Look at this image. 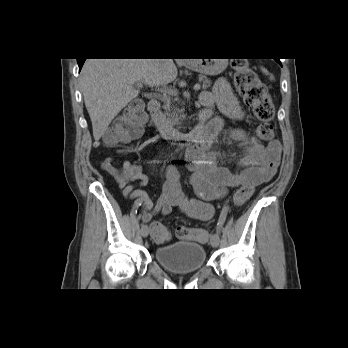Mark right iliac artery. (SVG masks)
Returning <instances> with one entry per match:
<instances>
[{"label": "right iliac artery", "mask_w": 348, "mask_h": 348, "mask_svg": "<svg viewBox=\"0 0 348 348\" xmlns=\"http://www.w3.org/2000/svg\"><path fill=\"white\" fill-rule=\"evenodd\" d=\"M143 201H145V196H140V198H134L133 199V210H138V208L143 204ZM134 214H138V211H134Z\"/></svg>", "instance_id": "82829eb1"}]
</instances>
